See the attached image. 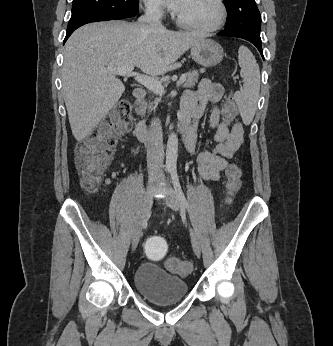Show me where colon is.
<instances>
[{"instance_id": "colon-1", "label": "colon", "mask_w": 333, "mask_h": 346, "mask_svg": "<svg viewBox=\"0 0 333 346\" xmlns=\"http://www.w3.org/2000/svg\"><path fill=\"white\" fill-rule=\"evenodd\" d=\"M132 106L129 101H119L113 112L94 129L90 135L76 146V166L82 186L87 190H94L101 183L102 178L110 165L113 150L117 145L118 136L129 131L132 125ZM238 115L232 95L224 103L223 117L227 123L233 122ZM241 169L237 164H230L226 168V189L230 195L235 194L241 187ZM144 256L148 260H165L164 266L172 273L181 276L190 274L192 263L178 258H167V242L163 235L150 233L145 235Z\"/></svg>"}]
</instances>
